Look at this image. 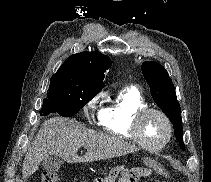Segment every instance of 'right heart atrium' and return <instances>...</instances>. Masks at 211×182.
Instances as JSON below:
<instances>
[{"instance_id":"right-heart-atrium-1","label":"right heart atrium","mask_w":211,"mask_h":182,"mask_svg":"<svg viewBox=\"0 0 211 182\" xmlns=\"http://www.w3.org/2000/svg\"><path fill=\"white\" fill-rule=\"evenodd\" d=\"M102 94L96 95L86 104V111L90 121L100 122L104 109L102 107Z\"/></svg>"}]
</instances>
